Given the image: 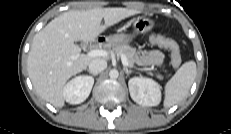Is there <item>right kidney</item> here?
Listing matches in <instances>:
<instances>
[{"mask_svg":"<svg viewBox=\"0 0 231 134\" xmlns=\"http://www.w3.org/2000/svg\"><path fill=\"white\" fill-rule=\"evenodd\" d=\"M94 79L90 76L80 75L70 80L63 88L66 102L80 104L84 102L93 87Z\"/></svg>","mask_w":231,"mask_h":134,"instance_id":"1","label":"right kidney"}]
</instances>
